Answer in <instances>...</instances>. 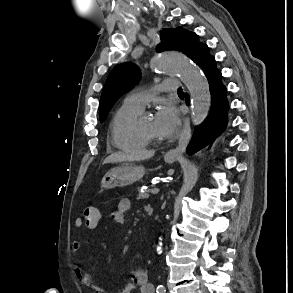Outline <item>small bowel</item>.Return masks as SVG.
Here are the masks:
<instances>
[{
	"mask_svg": "<svg viewBox=\"0 0 293 293\" xmlns=\"http://www.w3.org/2000/svg\"><path fill=\"white\" fill-rule=\"evenodd\" d=\"M131 203L128 198H121L118 203L116 209L110 214V218L118 224H123L125 222V216L127 212L130 210ZM83 222L80 219L75 221V226L77 228L82 227ZM88 226V225H87ZM89 228H94L88 226ZM81 247L80 241H74L72 243V251L77 252ZM75 274L79 281L89 287H92L96 293H110L104 288L96 285L91 277L85 272V270L81 266H77L75 268ZM137 291L138 293H154V287L152 283L149 282L148 274L143 269H134L131 272V282L122 290L117 293H134Z\"/></svg>",
	"mask_w": 293,
	"mask_h": 293,
	"instance_id": "small-bowel-1",
	"label": "small bowel"
}]
</instances>
